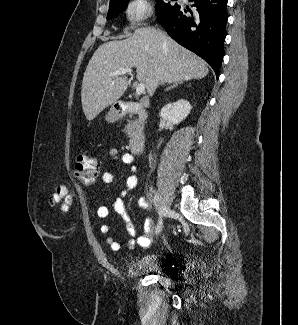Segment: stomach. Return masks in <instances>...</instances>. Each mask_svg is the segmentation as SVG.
Masks as SVG:
<instances>
[{"mask_svg":"<svg viewBox=\"0 0 298 325\" xmlns=\"http://www.w3.org/2000/svg\"><path fill=\"white\" fill-rule=\"evenodd\" d=\"M107 122H115V120H118V118H120L117 110H115L114 106H112L111 110H109V112H107L106 116H105Z\"/></svg>","mask_w":298,"mask_h":325,"instance_id":"obj_1","label":"stomach"}]
</instances>
